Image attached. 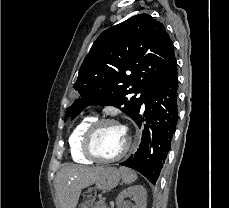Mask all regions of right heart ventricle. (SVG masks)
Returning <instances> with one entry per match:
<instances>
[{
  "mask_svg": "<svg viewBox=\"0 0 229 208\" xmlns=\"http://www.w3.org/2000/svg\"><path fill=\"white\" fill-rule=\"evenodd\" d=\"M96 120L95 116H87L83 118L71 131L68 144H69V153L71 160L77 164H91L95 160L93 158H85L84 154L81 153L80 149L83 148L82 144L84 143V135L89 127V125Z\"/></svg>",
  "mask_w": 229,
  "mask_h": 208,
  "instance_id": "obj_1",
  "label": "right heart ventricle"
}]
</instances>
